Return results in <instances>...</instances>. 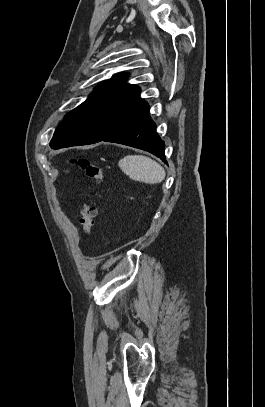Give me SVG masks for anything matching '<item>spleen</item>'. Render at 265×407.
Wrapping results in <instances>:
<instances>
[{
	"label": "spleen",
	"mask_w": 265,
	"mask_h": 407,
	"mask_svg": "<svg viewBox=\"0 0 265 407\" xmlns=\"http://www.w3.org/2000/svg\"><path fill=\"white\" fill-rule=\"evenodd\" d=\"M119 167L131 179L156 184L164 180V168L153 159L143 155H127L119 161Z\"/></svg>",
	"instance_id": "obj_1"
}]
</instances>
